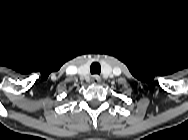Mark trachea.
Listing matches in <instances>:
<instances>
[{"label":"trachea","mask_w":188,"mask_h":140,"mask_svg":"<svg viewBox=\"0 0 188 140\" xmlns=\"http://www.w3.org/2000/svg\"><path fill=\"white\" fill-rule=\"evenodd\" d=\"M90 72H91V74H100V72H101L100 64L97 62L92 63L90 66Z\"/></svg>","instance_id":"obj_1"}]
</instances>
